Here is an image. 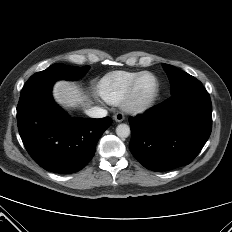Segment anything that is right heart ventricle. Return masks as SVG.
Segmentation results:
<instances>
[{"label":"right heart ventricle","instance_id":"right-heart-ventricle-1","mask_svg":"<svg viewBox=\"0 0 232 232\" xmlns=\"http://www.w3.org/2000/svg\"><path fill=\"white\" fill-rule=\"evenodd\" d=\"M140 73L114 71L106 74L98 85L100 96L111 105H120L132 82Z\"/></svg>","mask_w":232,"mask_h":232}]
</instances>
